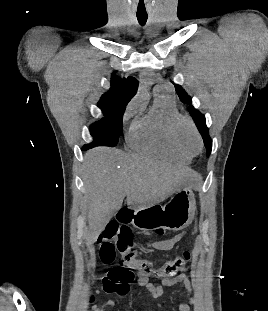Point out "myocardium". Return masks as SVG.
Listing matches in <instances>:
<instances>
[{
  "instance_id": "obj_1",
  "label": "myocardium",
  "mask_w": 268,
  "mask_h": 311,
  "mask_svg": "<svg viewBox=\"0 0 268 311\" xmlns=\"http://www.w3.org/2000/svg\"><path fill=\"white\" fill-rule=\"evenodd\" d=\"M183 125L188 126L190 130L193 132V134L195 135V137L197 138L198 144H199V148L197 152H191L183 144L181 140V135H180L181 127ZM169 131H170V137H171L173 144L182 153L186 154L189 157H192L201 152L203 148V140L196 125L194 124V122L192 121L190 117L186 115H182V114L175 115L170 121Z\"/></svg>"
}]
</instances>
